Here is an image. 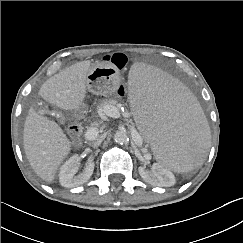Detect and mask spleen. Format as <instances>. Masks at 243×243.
<instances>
[{"label":"spleen","instance_id":"obj_1","mask_svg":"<svg viewBox=\"0 0 243 243\" xmlns=\"http://www.w3.org/2000/svg\"><path fill=\"white\" fill-rule=\"evenodd\" d=\"M126 79L133 116L155 158L175 172L195 170L210 140L196 98L175 77L143 62L130 64Z\"/></svg>","mask_w":243,"mask_h":243}]
</instances>
